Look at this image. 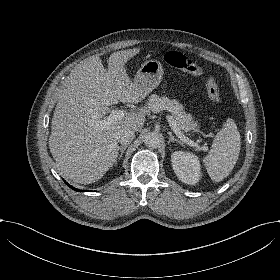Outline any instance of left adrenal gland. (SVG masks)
<instances>
[{
  "label": "left adrenal gland",
  "mask_w": 280,
  "mask_h": 280,
  "mask_svg": "<svg viewBox=\"0 0 280 280\" xmlns=\"http://www.w3.org/2000/svg\"><path fill=\"white\" fill-rule=\"evenodd\" d=\"M168 135H169V141H168V143H170V142H178L180 145H182V146L184 145V143H183L182 141L176 139V138L172 135L171 132H168Z\"/></svg>",
  "instance_id": "1"
}]
</instances>
